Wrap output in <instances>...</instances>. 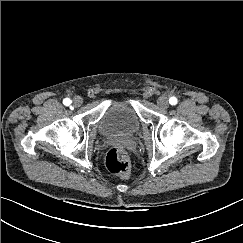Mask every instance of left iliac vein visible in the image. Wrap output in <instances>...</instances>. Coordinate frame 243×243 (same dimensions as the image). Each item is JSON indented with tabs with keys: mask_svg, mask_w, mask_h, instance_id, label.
Listing matches in <instances>:
<instances>
[{
	"mask_svg": "<svg viewBox=\"0 0 243 243\" xmlns=\"http://www.w3.org/2000/svg\"><path fill=\"white\" fill-rule=\"evenodd\" d=\"M157 104L161 108H164V109L168 108V106H169L168 98L165 97V96L159 97L158 100H157Z\"/></svg>",
	"mask_w": 243,
	"mask_h": 243,
	"instance_id": "obj_1",
	"label": "left iliac vein"
}]
</instances>
